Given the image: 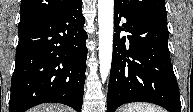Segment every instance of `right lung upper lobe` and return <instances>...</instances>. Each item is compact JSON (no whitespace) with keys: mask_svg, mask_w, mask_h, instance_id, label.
<instances>
[{"mask_svg":"<svg viewBox=\"0 0 193 112\" xmlns=\"http://www.w3.org/2000/svg\"><path fill=\"white\" fill-rule=\"evenodd\" d=\"M77 0H22L18 31L32 27L70 7Z\"/></svg>","mask_w":193,"mask_h":112,"instance_id":"cb5924a9","label":"right lung upper lobe"}]
</instances>
